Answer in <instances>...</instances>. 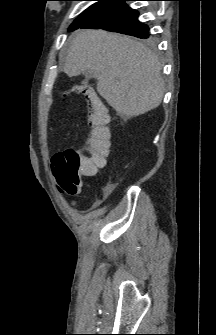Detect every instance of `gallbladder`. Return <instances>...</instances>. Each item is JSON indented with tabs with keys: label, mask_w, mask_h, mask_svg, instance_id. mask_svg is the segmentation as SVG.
Listing matches in <instances>:
<instances>
[{
	"label": "gallbladder",
	"mask_w": 216,
	"mask_h": 335,
	"mask_svg": "<svg viewBox=\"0 0 216 335\" xmlns=\"http://www.w3.org/2000/svg\"><path fill=\"white\" fill-rule=\"evenodd\" d=\"M95 75L93 73H88V72H85V78L86 79H91V78H94Z\"/></svg>",
	"instance_id": "gallbladder-1"
}]
</instances>
